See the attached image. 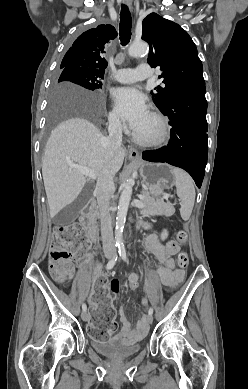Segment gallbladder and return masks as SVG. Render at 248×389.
<instances>
[{"instance_id":"bac80fb5","label":"gallbladder","mask_w":248,"mask_h":389,"mask_svg":"<svg viewBox=\"0 0 248 389\" xmlns=\"http://www.w3.org/2000/svg\"><path fill=\"white\" fill-rule=\"evenodd\" d=\"M89 196V187L86 185L78 198L68 207H66L57 217V222H63L70 220L76 213V211L86 202Z\"/></svg>"}]
</instances>
